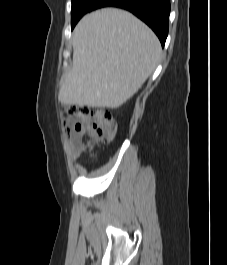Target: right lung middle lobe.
<instances>
[{"label":"right lung middle lobe","mask_w":227,"mask_h":265,"mask_svg":"<svg viewBox=\"0 0 227 265\" xmlns=\"http://www.w3.org/2000/svg\"><path fill=\"white\" fill-rule=\"evenodd\" d=\"M97 1L98 0H72V8H71L72 29L84 14L92 11Z\"/></svg>","instance_id":"obj_1"}]
</instances>
